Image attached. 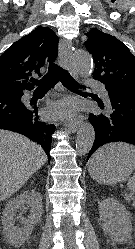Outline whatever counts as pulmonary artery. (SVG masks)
Here are the masks:
<instances>
[{"instance_id": "e3ab8cb5", "label": "pulmonary artery", "mask_w": 135, "mask_h": 249, "mask_svg": "<svg viewBox=\"0 0 135 249\" xmlns=\"http://www.w3.org/2000/svg\"><path fill=\"white\" fill-rule=\"evenodd\" d=\"M87 84L91 87H95V88L99 89L100 94L102 95L104 100L109 101L108 94H107L106 90L104 89V87L100 83L90 80V81H88Z\"/></svg>"}]
</instances>
